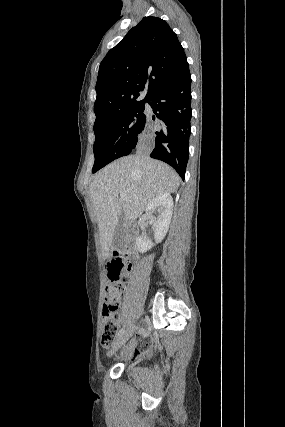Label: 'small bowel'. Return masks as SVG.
Masks as SVG:
<instances>
[{
  "instance_id": "1",
  "label": "small bowel",
  "mask_w": 285,
  "mask_h": 427,
  "mask_svg": "<svg viewBox=\"0 0 285 427\" xmlns=\"http://www.w3.org/2000/svg\"><path fill=\"white\" fill-rule=\"evenodd\" d=\"M150 342V337L145 333H141L139 339L136 342V347L140 350H146L149 347Z\"/></svg>"
}]
</instances>
